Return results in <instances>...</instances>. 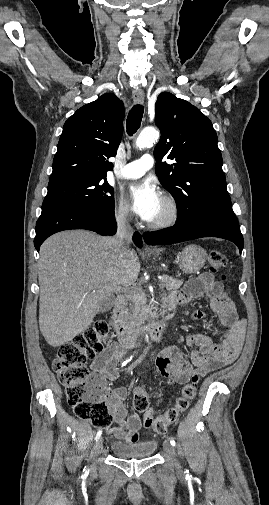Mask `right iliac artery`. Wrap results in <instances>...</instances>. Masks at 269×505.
I'll return each instance as SVG.
<instances>
[{"instance_id": "right-iliac-artery-1", "label": "right iliac artery", "mask_w": 269, "mask_h": 505, "mask_svg": "<svg viewBox=\"0 0 269 505\" xmlns=\"http://www.w3.org/2000/svg\"><path fill=\"white\" fill-rule=\"evenodd\" d=\"M131 359H132V356H131L130 358H128L126 361H124V362L122 363V366L126 365V364H127V362L131 361ZM101 435H102V430H99V431L97 432L96 436H95V440H98V439L100 438V436H101ZM83 471H84V475H85V476H87V475L89 474V470H88L87 468H85Z\"/></svg>"}]
</instances>
